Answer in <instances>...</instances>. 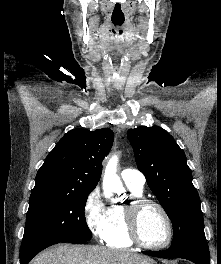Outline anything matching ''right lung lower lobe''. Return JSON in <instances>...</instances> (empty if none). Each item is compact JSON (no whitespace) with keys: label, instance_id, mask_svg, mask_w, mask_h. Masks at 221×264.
<instances>
[{"label":"right lung lower lobe","instance_id":"1","mask_svg":"<svg viewBox=\"0 0 221 264\" xmlns=\"http://www.w3.org/2000/svg\"><path fill=\"white\" fill-rule=\"evenodd\" d=\"M87 241H70L68 243H72V244H82V243H86ZM60 242H51V243H46V244H42L39 245L35 248H32L30 250H27L25 252L20 253V264H28V262L36 255L38 254L40 251H42L43 249L53 245V244H57Z\"/></svg>","mask_w":221,"mask_h":264}]
</instances>
